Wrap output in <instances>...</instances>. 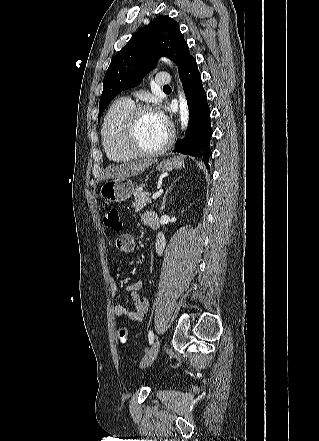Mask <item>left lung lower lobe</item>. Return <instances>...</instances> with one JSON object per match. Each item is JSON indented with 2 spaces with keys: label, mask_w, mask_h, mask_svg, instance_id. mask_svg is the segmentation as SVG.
<instances>
[{
  "label": "left lung lower lobe",
  "mask_w": 319,
  "mask_h": 441,
  "mask_svg": "<svg viewBox=\"0 0 319 441\" xmlns=\"http://www.w3.org/2000/svg\"><path fill=\"white\" fill-rule=\"evenodd\" d=\"M179 74L189 106L190 118L185 137L176 142L174 152L200 157L209 168L212 136L210 110L196 60L192 57Z\"/></svg>",
  "instance_id": "1"
}]
</instances>
